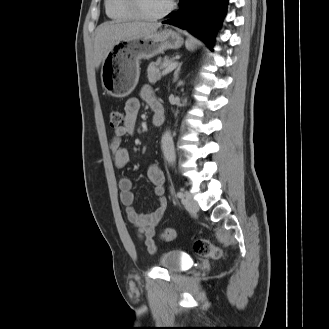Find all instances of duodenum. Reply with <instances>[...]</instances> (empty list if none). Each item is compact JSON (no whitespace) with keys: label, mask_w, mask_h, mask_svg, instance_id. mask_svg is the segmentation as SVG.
<instances>
[{"label":"duodenum","mask_w":329,"mask_h":329,"mask_svg":"<svg viewBox=\"0 0 329 329\" xmlns=\"http://www.w3.org/2000/svg\"><path fill=\"white\" fill-rule=\"evenodd\" d=\"M165 119V114L163 109L160 106H154V116H153V124L155 126H160L163 124Z\"/></svg>","instance_id":"1"}]
</instances>
